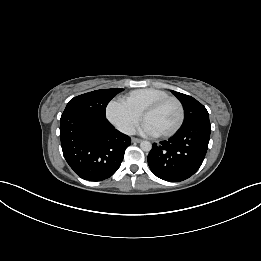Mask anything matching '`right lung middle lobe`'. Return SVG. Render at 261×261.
<instances>
[{"label": "right lung middle lobe", "mask_w": 261, "mask_h": 261, "mask_svg": "<svg viewBox=\"0 0 261 261\" xmlns=\"http://www.w3.org/2000/svg\"><path fill=\"white\" fill-rule=\"evenodd\" d=\"M123 89H102L72 98L64 112H81L91 116L106 118L105 110L109 101Z\"/></svg>", "instance_id": "right-lung-middle-lobe-1"}]
</instances>
